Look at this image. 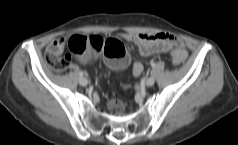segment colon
I'll use <instances>...</instances> for the list:
<instances>
[{
	"instance_id": "1",
	"label": "colon",
	"mask_w": 238,
	"mask_h": 145,
	"mask_svg": "<svg viewBox=\"0 0 238 145\" xmlns=\"http://www.w3.org/2000/svg\"><path fill=\"white\" fill-rule=\"evenodd\" d=\"M69 46L71 55L84 61H93L102 54L106 57L108 64L113 68H124L129 62V56L125 46L122 42L114 38L104 39L99 36H73L69 41ZM71 55L58 57L47 54L46 60L55 71L62 72L66 69ZM171 57L175 65H180L185 62L187 55L182 49H174L171 52ZM110 108L118 112L122 110L123 106L119 101L112 100L110 102Z\"/></svg>"
}]
</instances>
